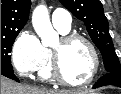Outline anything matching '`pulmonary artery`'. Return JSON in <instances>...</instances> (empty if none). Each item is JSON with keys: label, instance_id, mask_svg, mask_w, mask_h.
<instances>
[{"label": "pulmonary artery", "instance_id": "1", "mask_svg": "<svg viewBox=\"0 0 121 94\" xmlns=\"http://www.w3.org/2000/svg\"><path fill=\"white\" fill-rule=\"evenodd\" d=\"M52 23L55 27L62 29H70L71 27V15L62 8L54 10L52 14Z\"/></svg>", "mask_w": 121, "mask_h": 94}]
</instances>
